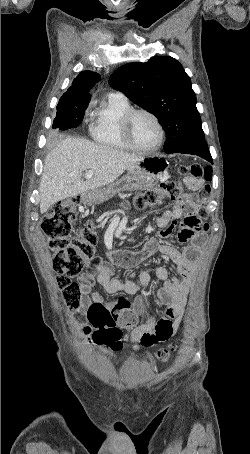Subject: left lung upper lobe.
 <instances>
[{"instance_id": "1", "label": "left lung upper lobe", "mask_w": 250, "mask_h": 454, "mask_svg": "<svg viewBox=\"0 0 250 454\" xmlns=\"http://www.w3.org/2000/svg\"><path fill=\"white\" fill-rule=\"evenodd\" d=\"M112 88L155 115L166 132L167 154L204 139L190 77L170 56L119 67L109 78Z\"/></svg>"}]
</instances>
